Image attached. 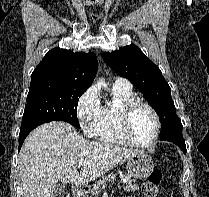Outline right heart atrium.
I'll list each match as a JSON object with an SVG mask.
<instances>
[{"label":"right heart atrium","mask_w":209,"mask_h":197,"mask_svg":"<svg viewBox=\"0 0 209 197\" xmlns=\"http://www.w3.org/2000/svg\"><path fill=\"white\" fill-rule=\"evenodd\" d=\"M76 112L84 133L90 137L97 136L103 117V106L94 87L88 88L79 97Z\"/></svg>","instance_id":"obj_1"}]
</instances>
